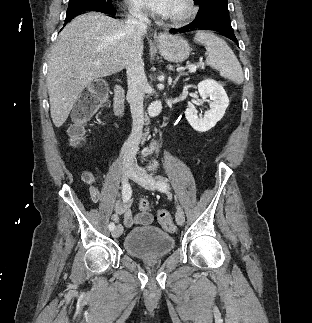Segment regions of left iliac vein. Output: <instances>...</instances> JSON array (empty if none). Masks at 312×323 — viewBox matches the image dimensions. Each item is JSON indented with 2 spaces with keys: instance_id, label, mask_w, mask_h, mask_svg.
I'll use <instances>...</instances> for the list:
<instances>
[{
  "instance_id": "4c4485c4",
  "label": "left iliac vein",
  "mask_w": 312,
  "mask_h": 323,
  "mask_svg": "<svg viewBox=\"0 0 312 323\" xmlns=\"http://www.w3.org/2000/svg\"><path fill=\"white\" fill-rule=\"evenodd\" d=\"M132 178L134 181L138 182L141 186H143L146 189L155 190L157 188L158 184L156 183V179L138 166L133 167ZM184 221V212L181 206L177 205L176 222L178 225L182 226L184 224Z\"/></svg>"
}]
</instances>
